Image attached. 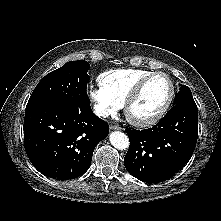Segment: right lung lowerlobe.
<instances>
[{
  "mask_svg": "<svg viewBox=\"0 0 221 221\" xmlns=\"http://www.w3.org/2000/svg\"><path fill=\"white\" fill-rule=\"evenodd\" d=\"M109 133L90 102L78 107L42 106L25 111L24 146L33 166L58 180L76 178L89 168L96 144Z\"/></svg>",
  "mask_w": 221,
  "mask_h": 221,
  "instance_id": "obj_1",
  "label": "right lung lower lobe"
}]
</instances>
